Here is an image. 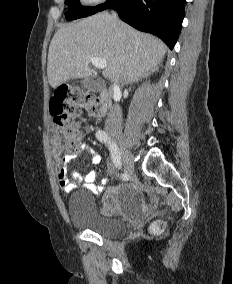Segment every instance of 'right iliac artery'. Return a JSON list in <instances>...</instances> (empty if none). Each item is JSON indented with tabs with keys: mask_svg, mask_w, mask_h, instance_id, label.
<instances>
[{
	"mask_svg": "<svg viewBox=\"0 0 233 284\" xmlns=\"http://www.w3.org/2000/svg\"><path fill=\"white\" fill-rule=\"evenodd\" d=\"M96 138L100 142L105 143L109 147L113 163L117 168L121 169L122 168L121 154L115 142H113L108 136V134L103 130H98L96 132Z\"/></svg>",
	"mask_w": 233,
	"mask_h": 284,
	"instance_id": "obj_1",
	"label": "right iliac artery"
}]
</instances>
